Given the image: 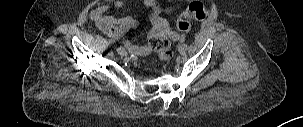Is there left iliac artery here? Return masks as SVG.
<instances>
[{
	"instance_id": "1",
	"label": "left iliac artery",
	"mask_w": 303,
	"mask_h": 127,
	"mask_svg": "<svg viewBox=\"0 0 303 127\" xmlns=\"http://www.w3.org/2000/svg\"><path fill=\"white\" fill-rule=\"evenodd\" d=\"M182 47H183L185 50H187V49H188L187 43H183V44H182Z\"/></svg>"
}]
</instances>
